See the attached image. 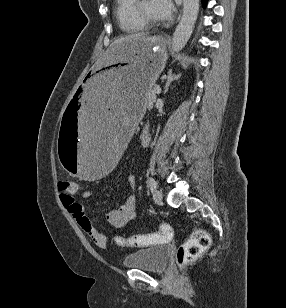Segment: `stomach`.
<instances>
[{
  "label": "stomach",
  "instance_id": "stomach-1",
  "mask_svg": "<svg viewBox=\"0 0 286 308\" xmlns=\"http://www.w3.org/2000/svg\"><path fill=\"white\" fill-rule=\"evenodd\" d=\"M166 60L165 40L157 36L124 40L94 60L60 118L58 153L65 173L81 182H104L115 173Z\"/></svg>",
  "mask_w": 286,
  "mask_h": 308
}]
</instances>
